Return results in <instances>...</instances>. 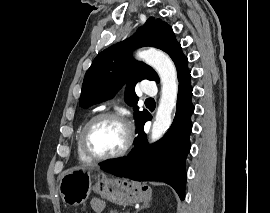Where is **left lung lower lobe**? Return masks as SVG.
Here are the masks:
<instances>
[{
	"mask_svg": "<svg viewBox=\"0 0 270 213\" xmlns=\"http://www.w3.org/2000/svg\"><path fill=\"white\" fill-rule=\"evenodd\" d=\"M190 78L188 68L178 75L176 115L165 136L154 144H148L143 131L144 123L151 120V115L148 114L138 125L134 150L126 157L101 165L103 171L136 181L165 182L176 190L181 200H184L185 159L190 150L191 115L194 111Z\"/></svg>",
	"mask_w": 270,
	"mask_h": 213,
	"instance_id": "0a47b994",
	"label": "left lung lower lobe"
}]
</instances>
